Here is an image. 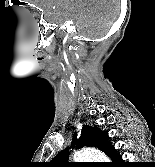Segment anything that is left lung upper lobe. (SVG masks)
Listing matches in <instances>:
<instances>
[{
    "label": "left lung upper lobe",
    "mask_w": 155,
    "mask_h": 167,
    "mask_svg": "<svg viewBox=\"0 0 155 167\" xmlns=\"http://www.w3.org/2000/svg\"><path fill=\"white\" fill-rule=\"evenodd\" d=\"M108 135L105 132H102L100 128L92 127L89 125H84L82 127L81 136L78 142H75V137L72 141L71 147L76 145V148H82L85 146L97 147L108 156L114 150V147H111L108 142ZM76 143V144H75ZM69 148L59 152L49 163L48 167H79L78 163L68 162Z\"/></svg>",
    "instance_id": "obj_1"
}]
</instances>
